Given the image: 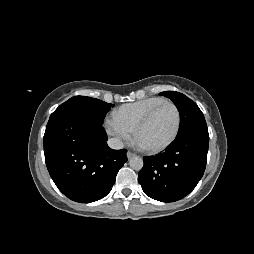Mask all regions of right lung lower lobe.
I'll return each instance as SVG.
<instances>
[{"mask_svg": "<svg viewBox=\"0 0 254 254\" xmlns=\"http://www.w3.org/2000/svg\"><path fill=\"white\" fill-rule=\"evenodd\" d=\"M101 124L71 114L50 118L44 134L47 169L69 199L90 203L105 197L127 161L125 149L108 147Z\"/></svg>", "mask_w": 254, "mask_h": 254, "instance_id": "right-lung-lower-lobe-1", "label": "right lung lower lobe"}]
</instances>
